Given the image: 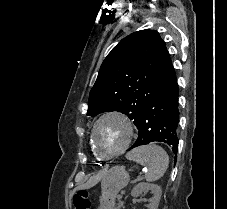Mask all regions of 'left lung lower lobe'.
Here are the masks:
<instances>
[{"label": "left lung lower lobe", "instance_id": "1", "mask_svg": "<svg viewBox=\"0 0 227 209\" xmlns=\"http://www.w3.org/2000/svg\"><path fill=\"white\" fill-rule=\"evenodd\" d=\"M178 92L174 73L156 96L146 104L136 124L138 138L128 150L152 142H164L175 154L177 153Z\"/></svg>", "mask_w": 227, "mask_h": 209}]
</instances>
